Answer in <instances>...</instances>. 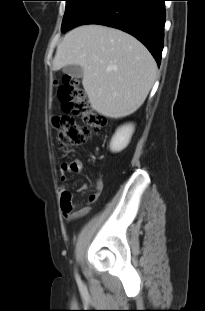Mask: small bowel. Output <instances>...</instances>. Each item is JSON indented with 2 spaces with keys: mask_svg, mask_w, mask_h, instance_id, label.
<instances>
[{
  "mask_svg": "<svg viewBox=\"0 0 205 311\" xmlns=\"http://www.w3.org/2000/svg\"><path fill=\"white\" fill-rule=\"evenodd\" d=\"M83 170V163L80 159H74L71 162H64L59 167L60 181L62 183L58 190L60 196L61 210L68 220L79 219L90 212V204L95 202L102 191L103 181L97 179L94 191L88 196L86 203L77 204L73 202V194L66 189V184L69 181L68 174H78ZM88 189L87 184L80 187L81 191Z\"/></svg>",
  "mask_w": 205,
  "mask_h": 311,
  "instance_id": "small-bowel-1",
  "label": "small bowel"
}]
</instances>
